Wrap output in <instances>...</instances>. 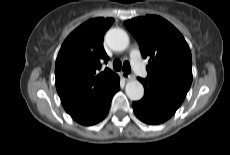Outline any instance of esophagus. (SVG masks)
<instances>
[{"mask_svg":"<svg viewBox=\"0 0 230 155\" xmlns=\"http://www.w3.org/2000/svg\"><path fill=\"white\" fill-rule=\"evenodd\" d=\"M124 78L127 80H132L135 78V76L133 74H127V73H122Z\"/></svg>","mask_w":230,"mask_h":155,"instance_id":"1","label":"esophagus"}]
</instances>
